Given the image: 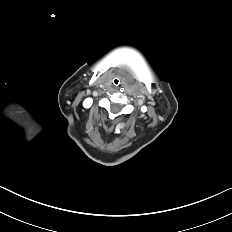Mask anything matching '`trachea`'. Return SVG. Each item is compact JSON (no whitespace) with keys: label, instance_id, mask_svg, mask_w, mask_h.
<instances>
[{"label":"trachea","instance_id":"1","mask_svg":"<svg viewBox=\"0 0 232 232\" xmlns=\"http://www.w3.org/2000/svg\"><path fill=\"white\" fill-rule=\"evenodd\" d=\"M112 84H113L115 87H119L120 84H121L120 78H118V77L113 78V79H112Z\"/></svg>","mask_w":232,"mask_h":232}]
</instances>
